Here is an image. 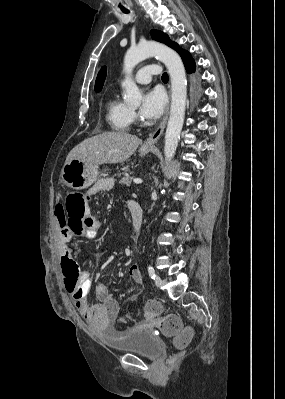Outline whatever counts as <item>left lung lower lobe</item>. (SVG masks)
<instances>
[{
    "label": "left lung lower lobe",
    "mask_w": 285,
    "mask_h": 399,
    "mask_svg": "<svg viewBox=\"0 0 285 399\" xmlns=\"http://www.w3.org/2000/svg\"><path fill=\"white\" fill-rule=\"evenodd\" d=\"M180 56L182 57V60L184 62L186 71L191 74L195 72V61L193 60L191 54L188 51L183 50L182 52L179 53Z\"/></svg>",
    "instance_id": "0a47b994"
}]
</instances>
